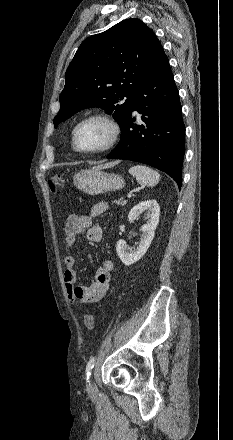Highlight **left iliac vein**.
<instances>
[{
  "label": "left iliac vein",
  "instance_id": "1",
  "mask_svg": "<svg viewBox=\"0 0 233 440\" xmlns=\"http://www.w3.org/2000/svg\"><path fill=\"white\" fill-rule=\"evenodd\" d=\"M89 389H90L91 391H94V389H95L94 384H93L92 381L89 382Z\"/></svg>",
  "mask_w": 233,
  "mask_h": 440
}]
</instances>
